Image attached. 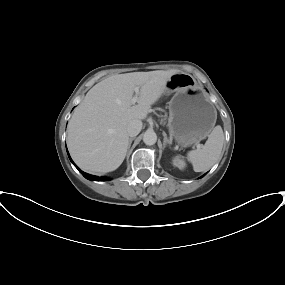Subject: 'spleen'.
<instances>
[{
    "mask_svg": "<svg viewBox=\"0 0 285 285\" xmlns=\"http://www.w3.org/2000/svg\"><path fill=\"white\" fill-rule=\"evenodd\" d=\"M224 143V133L221 126H216L209 134L206 143L196 150L187 153L195 172L210 169L219 159Z\"/></svg>",
    "mask_w": 285,
    "mask_h": 285,
    "instance_id": "spleen-1",
    "label": "spleen"
}]
</instances>
